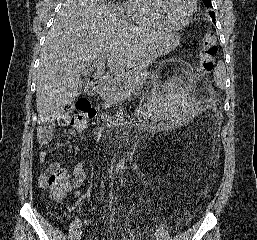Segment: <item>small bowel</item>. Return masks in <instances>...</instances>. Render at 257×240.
<instances>
[{"instance_id":"1","label":"small bowel","mask_w":257,"mask_h":240,"mask_svg":"<svg viewBox=\"0 0 257 240\" xmlns=\"http://www.w3.org/2000/svg\"><path fill=\"white\" fill-rule=\"evenodd\" d=\"M175 61V60H172ZM52 130L41 128L38 132V141L41 145L48 144L52 139ZM40 161H45L47 158V152L45 150H41L38 154ZM59 168V164L57 162L50 163L48 167V171H56ZM71 177L73 179L72 188L78 189L84 183L86 179L85 172V163L81 162L75 166V168L71 172Z\"/></svg>"}]
</instances>
